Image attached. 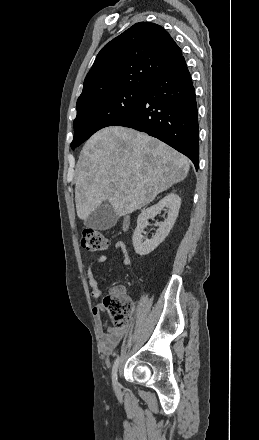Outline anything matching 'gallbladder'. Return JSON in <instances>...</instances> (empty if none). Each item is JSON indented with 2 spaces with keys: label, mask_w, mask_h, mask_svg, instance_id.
I'll return each mask as SVG.
<instances>
[{
  "label": "gallbladder",
  "mask_w": 259,
  "mask_h": 440,
  "mask_svg": "<svg viewBox=\"0 0 259 440\" xmlns=\"http://www.w3.org/2000/svg\"><path fill=\"white\" fill-rule=\"evenodd\" d=\"M118 219L119 216L109 204H102L84 220V225L87 228L103 231L115 226Z\"/></svg>",
  "instance_id": "1"
}]
</instances>
